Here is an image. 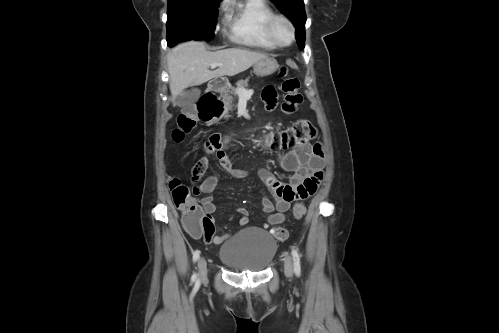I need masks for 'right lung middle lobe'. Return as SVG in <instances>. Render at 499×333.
Listing matches in <instances>:
<instances>
[{"label":"right lung middle lobe","mask_w":499,"mask_h":333,"mask_svg":"<svg viewBox=\"0 0 499 333\" xmlns=\"http://www.w3.org/2000/svg\"><path fill=\"white\" fill-rule=\"evenodd\" d=\"M222 0H168L167 42L172 47L186 40H210Z\"/></svg>","instance_id":"obj_1"}]
</instances>
